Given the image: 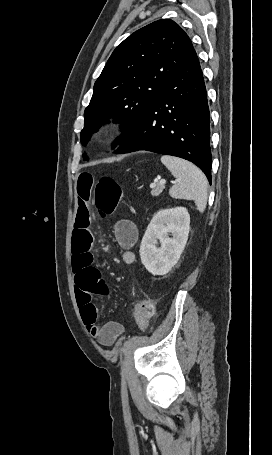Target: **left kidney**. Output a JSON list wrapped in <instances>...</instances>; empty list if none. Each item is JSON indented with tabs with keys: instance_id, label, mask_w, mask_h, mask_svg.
<instances>
[{
	"instance_id": "5707ae66",
	"label": "left kidney",
	"mask_w": 272,
	"mask_h": 455,
	"mask_svg": "<svg viewBox=\"0 0 272 455\" xmlns=\"http://www.w3.org/2000/svg\"><path fill=\"white\" fill-rule=\"evenodd\" d=\"M190 215L186 208L159 210L150 221L140 246L142 264L153 275H165L178 262L188 240ZM172 233V238L168 234ZM161 246L157 247L158 241Z\"/></svg>"
}]
</instances>
